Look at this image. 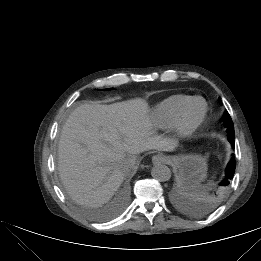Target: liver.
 I'll use <instances>...</instances> for the list:
<instances>
[{
    "label": "liver",
    "mask_w": 261,
    "mask_h": 261,
    "mask_svg": "<svg viewBox=\"0 0 261 261\" xmlns=\"http://www.w3.org/2000/svg\"><path fill=\"white\" fill-rule=\"evenodd\" d=\"M154 135L149 107L136 98L111 105L82 104L69 115L59 140L58 170L69 195L81 205L109 201L144 151H165ZM127 159L129 168L122 165Z\"/></svg>",
    "instance_id": "6515ba94"
}]
</instances>
